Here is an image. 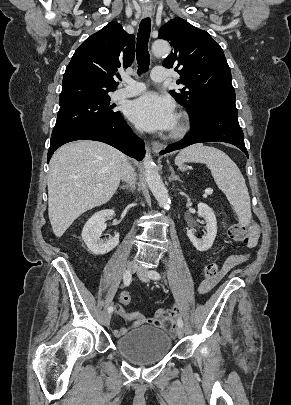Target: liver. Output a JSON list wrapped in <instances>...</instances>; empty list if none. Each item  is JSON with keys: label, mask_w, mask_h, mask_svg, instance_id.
Here are the masks:
<instances>
[{"label": "liver", "mask_w": 291, "mask_h": 405, "mask_svg": "<svg viewBox=\"0 0 291 405\" xmlns=\"http://www.w3.org/2000/svg\"><path fill=\"white\" fill-rule=\"evenodd\" d=\"M126 157L98 141L81 140L60 147L48 174V215L61 237L84 212L105 204L116 192Z\"/></svg>", "instance_id": "obj_1"}]
</instances>
